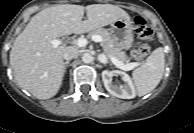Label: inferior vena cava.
<instances>
[{
    "mask_svg": "<svg viewBox=\"0 0 194 133\" xmlns=\"http://www.w3.org/2000/svg\"><path fill=\"white\" fill-rule=\"evenodd\" d=\"M79 56V51L75 47H66L64 53H63V58L66 60H71L73 58H76Z\"/></svg>",
    "mask_w": 194,
    "mask_h": 133,
    "instance_id": "obj_1",
    "label": "inferior vena cava"
}]
</instances>
